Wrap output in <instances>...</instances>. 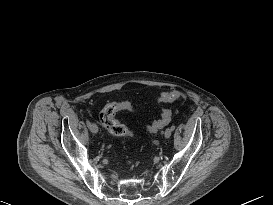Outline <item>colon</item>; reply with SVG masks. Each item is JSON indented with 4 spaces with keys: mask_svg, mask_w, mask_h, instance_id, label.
I'll return each mask as SVG.
<instances>
[{
    "mask_svg": "<svg viewBox=\"0 0 273 205\" xmlns=\"http://www.w3.org/2000/svg\"><path fill=\"white\" fill-rule=\"evenodd\" d=\"M185 95L179 91H170L162 93L158 99L159 103L165 104L169 102H174L177 100L185 99ZM126 108L123 103H110L103 108L99 114L100 123L114 136H132V131L121 124L116 118L117 112ZM130 110H134V107H130ZM172 118V112L168 108H162L161 116L159 119L155 120L147 126V130L150 133H155L165 126H167Z\"/></svg>",
    "mask_w": 273,
    "mask_h": 205,
    "instance_id": "1",
    "label": "colon"
}]
</instances>
